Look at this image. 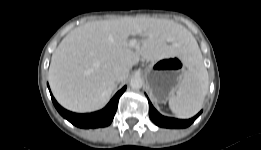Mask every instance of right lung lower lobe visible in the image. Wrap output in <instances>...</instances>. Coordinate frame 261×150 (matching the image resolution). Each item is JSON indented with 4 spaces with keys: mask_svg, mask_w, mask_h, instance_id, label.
Wrapping results in <instances>:
<instances>
[{
    "mask_svg": "<svg viewBox=\"0 0 261 150\" xmlns=\"http://www.w3.org/2000/svg\"><path fill=\"white\" fill-rule=\"evenodd\" d=\"M125 90L126 87H123L120 91H118L104 109L90 114H76L67 111L56 102L51 92L50 94L54 106L65 119H67L69 122H71L73 125L77 127L87 129L105 127L112 122L115 112L117 110L118 100Z\"/></svg>",
    "mask_w": 261,
    "mask_h": 150,
    "instance_id": "98d812e1",
    "label": "right lung lower lobe"
}]
</instances>
